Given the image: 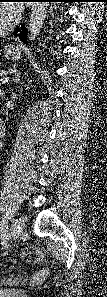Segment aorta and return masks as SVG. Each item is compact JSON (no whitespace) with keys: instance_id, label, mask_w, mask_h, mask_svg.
<instances>
[{"instance_id":"1","label":"aorta","mask_w":107,"mask_h":297,"mask_svg":"<svg viewBox=\"0 0 107 297\" xmlns=\"http://www.w3.org/2000/svg\"><path fill=\"white\" fill-rule=\"evenodd\" d=\"M49 8L48 2H35L31 8V15L28 23L29 39L35 40L43 28L44 21Z\"/></svg>"}]
</instances>
